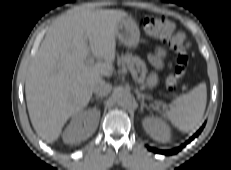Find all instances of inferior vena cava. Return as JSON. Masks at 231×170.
Returning <instances> with one entry per match:
<instances>
[{
    "label": "inferior vena cava",
    "instance_id": "1",
    "mask_svg": "<svg viewBox=\"0 0 231 170\" xmlns=\"http://www.w3.org/2000/svg\"><path fill=\"white\" fill-rule=\"evenodd\" d=\"M111 90L112 85L106 83L104 80L99 81L93 87V92L101 97L108 95L111 92Z\"/></svg>",
    "mask_w": 231,
    "mask_h": 170
}]
</instances>
